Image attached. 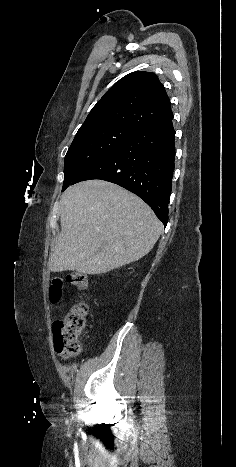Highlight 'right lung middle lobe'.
<instances>
[{
  "label": "right lung middle lobe",
  "instance_id": "obj_1",
  "mask_svg": "<svg viewBox=\"0 0 236 467\" xmlns=\"http://www.w3.org/2000/svg\"><path fill=\"white\" fill-rule=\"evenodd\" d=\"M137 132L121 125H103L77 132L65 156L62 190L88 167Z\"/></svg>",
  "mask_w": 236,
  "mask_h": 467
}]
</instances>
